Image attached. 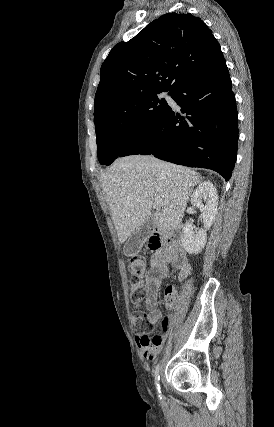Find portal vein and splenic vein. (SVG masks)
<instances>
[{
    "label": "portal vein and splenic vein",
    "mask_w": 274,
    "mask_h": 427,
    "mask_svg": "<svg viewBox=\"0 0 274 427\" xmlns=\"http://www.w3.org/2000/svg\"><path fill=\"white\" fill-rule=\"evenodd\" d=\"M155 206H157V208H161L162 204L161 202H155Z\"/></svg>",
    "instance_id": "18ae733b"
}]
</instances>
